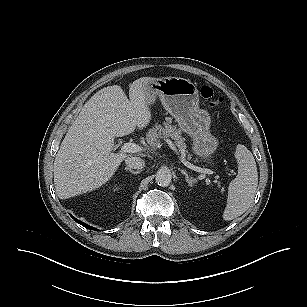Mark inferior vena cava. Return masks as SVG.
<instances>
[{"label":"inferior vena cava","mask_w":307,"mask_h":307,"mask_svg":"<svg viewBox=\"0 0 307 307\" xmlns=\"http://www.w3.org/2000/svg\"><path fill=\"white\" fill-rule=\"evenodd\" d=\"M127 167L141 170L145 166V162L140 157L130 156L125 160Z\"/></svg>","instance_id":"obj_1"}]
</instances>
